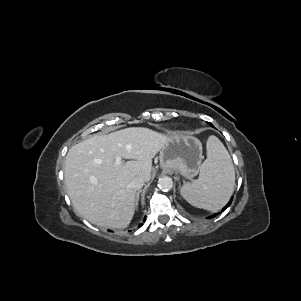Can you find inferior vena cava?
I'll return each instance as SVG.
<instances>
[{"label": "inferior vena cava", "mask_w": 301, "mask_h": 301, "mask_svg": "<svg viewBox=\"0 0 301 301\" xmlns=\"http://www.w3.org/2000/svg\"><path fill=\"white\" fill-rule=\"evenodd\" d=\"M146 182V179L144 176H136L132 181H131V187L134 190H139L143 187L144 183Z\"/></svg>", "instance_id": "602c4592"}]
</instances>
